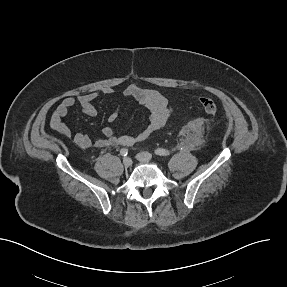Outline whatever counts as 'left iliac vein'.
I'll return each instance as SVG.
<instances>
[{
  "mask_svg": "<svg viewBox=\"0 0 287 287\" xmlns=\"http://www.w3.org/2000/svg\"><path fill=\"white\" fill-rule=\"evenodd\" d=\"M136 158L142 163H148L152 160V155L148 152H141L136 155Z\"/></svg>",
  "mask_w": 287,
  "mask_h": 287,
  "instance_id": "left-iliac-vein-1",
  "label": "left iliac vein"
}]
</instances>
